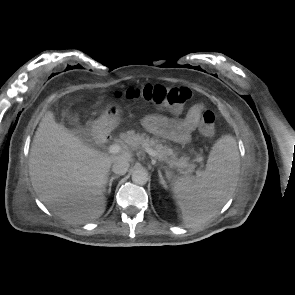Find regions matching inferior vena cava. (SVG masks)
Segmentation results:
<instances>
[{"label":"inferior vena cava","mask_w":295,"mask_h":295,"mask_svg":"<svg viewBox=\"0 0 295 295\" xmlns=\"http://www.w3.org/2000/svg\"><path fill=\"white\" fill-rule=\"evenodd\" d=\"M129 162L126 160L116 161L112 166V171L118 175H124L129 169Z\"/></svg>","instance_id":"602c4592"}]
</instances>
